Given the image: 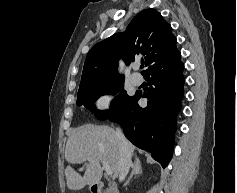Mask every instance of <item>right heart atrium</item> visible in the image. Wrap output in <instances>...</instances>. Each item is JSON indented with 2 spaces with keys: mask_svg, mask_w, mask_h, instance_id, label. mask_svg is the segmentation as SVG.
I'll list each match as a JSON object with an SVG mask.
<instances>
[{
  "mask_svg": "<svg viewBox=\"0 0 237 193\" xmlns=\"http://www.w3.org/2000/svg\"><path fill=\"white\" fill-rule=\"evenodd\" d=\"M113 101V95L109 92L102 93L95 101V105L99 110H108Z\"/></svg>",
  "mask_w": 237,
  "mask_h": 193,
  "instance_id": "1",
  "label": "right heart atrium"
}]
</instances>
